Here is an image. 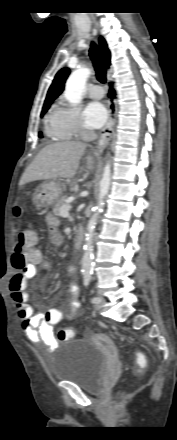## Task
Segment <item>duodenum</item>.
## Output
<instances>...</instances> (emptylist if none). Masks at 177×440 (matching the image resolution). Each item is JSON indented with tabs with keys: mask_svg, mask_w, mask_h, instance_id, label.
<instances>
[{
	"mask_svg": "<svg viewBox=\"0 0 177 440\" xmlns=\"http://www.w3.org/2000/svg\"><path fill=\"white\" fill-rule=\"evenodd\" d=\"M84 241V231L82 228H77L75 231V237H74V248L76 250H80Z\"/></svg>",
	"mask_w": 177,
	"mask_h": 440,
	"instance_id": "410a0bca",
	"label": "duodenum"
}]
</instances>
